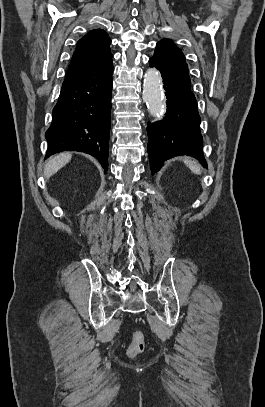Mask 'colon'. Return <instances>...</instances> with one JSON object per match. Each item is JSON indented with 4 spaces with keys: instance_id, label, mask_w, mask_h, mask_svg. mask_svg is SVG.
<instances>
[{
    "instance_id": "obj_1",
    "label": "colon",
    "mask_w": 265,
    "mask_h": 407,
    "mask_svg": "<svg viewBox=\"0 0 265 407\" xmlns=\"http://www.w3.org/2000/svg\"><path fill=\"white\" fill-rule=\"evenodd\" d=\"M146 347L145 335L142 331L137 330L132 335V341L127 349L129 356L134 357L144 352Z\"/></svg>"
}]
</instances>
